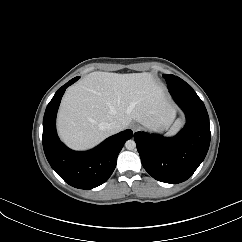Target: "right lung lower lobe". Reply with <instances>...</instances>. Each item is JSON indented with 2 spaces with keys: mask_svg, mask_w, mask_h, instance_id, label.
<instances>
[{
  "mask_svg": "<svg viewBox=\"0 0 242 242\" xmlns=\"http://www.w3.org/2000/svg\"><path fill=\"white\" fill-rule=\"evenodd\" d=\"M78 79L75 77L63 85L49 102L43 119L42 141L46 158L55 172L69 185L89 190L103 184L111 176L117 156L133 132H120L86 152H76L66 147L57 136L56 115L65 89Z\"/></svg>",
  "mask_w": 242,
  "mask_h": 242,
  "instance_id": "1",
  "label": "right lung lower lobe"
}]
</instances>
